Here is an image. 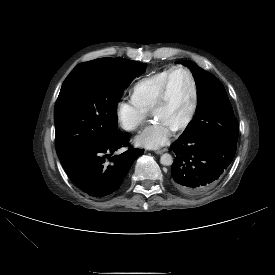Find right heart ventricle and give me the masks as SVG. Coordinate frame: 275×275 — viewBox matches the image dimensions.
I'll list each match as a JSON object with an SVG mask.
<instances>
[{"instance_id": "obj_1", "label": "right heart ventricle", "mask_w": 275, "mask_h": 275, "mask_svg": "<svg viewBox=\"0 0 275 275\" xmlns=\"http://www.w3.org/2000/svg\"><path fill=\"white\" fill-rule=\"evenodd\" d=\"M170 69L157 71L138 80L131 90L132 101L145 111H150Z\"/></svg>"}]
</instances>
